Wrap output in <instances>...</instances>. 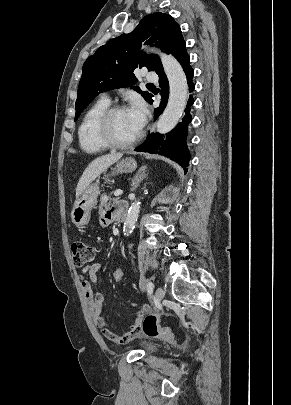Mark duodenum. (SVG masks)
I'll list each match as a JSON object with an SVG mask.
<instances>
[{
	"label": "duodenum",
	"instance_id": "410a0bca",
	"mask_svg": "<svg viewBox=\"0 0 291 405\" xmlns=\"http://www.w3.org/2000/svg\"><path fill=\"white\" fill-rule=\"evenodd\" d=\"M126 217V207L124 205H121L118 209H117V218L119 220H124Z\"/></svg>",
	"mask_w": 291,
	"mask_h": 405
}]
</instances>
